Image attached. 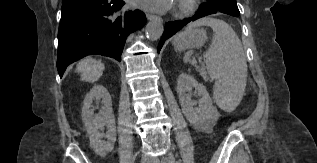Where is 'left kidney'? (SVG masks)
Listing matches in <instances>:
<instances>
[{
    "label": "left kidney",
    "instance_id": "obj_1",
    "mask_svg": "<svg viewBox=\"0 0 317 163\" xmlns=\"http://www.w3.org/2000/svg\"><path fill=\"white\" fill-rule=\"evenodd\" d=\"M192 88L201 97L199 101H193L191 94H186ZM177 93L182 112L190 124L198 131L205 133L212 132L220 114L217 108L213 106L212 99L204 85L200 84L190 74L181 73L178 77Z\"/></svg>",
    "mask_w": 317,
    "mask_h": 163
}]
</instances>
